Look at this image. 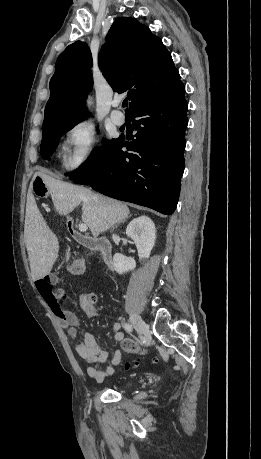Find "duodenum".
<instances>
[{
  "label": "duodenum",
  "instance_id": "obj_1",
  "mask_svg": "<svg viewBox=\"0 0 261 459\" xmlns=\"http://www.w3.org/2000/svg\"><path fill=\"white\" fill-rule=\"evenodd\" d=\"M73 237L81 245L90 249H96L102 256L105 264L110 269L113 268V249L110 242L106 238H93L76 230H73Z\"/></svg>",
  "mask_w": 261,
  "mask_h": 459
}]
</instances>
